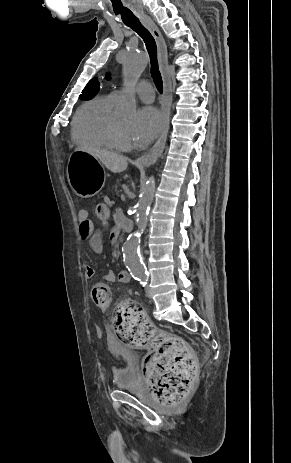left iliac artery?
Instances as JSON below:
<instances>
[{"label":"left iliac artery","instance_id":"44dca946","mask_svg":"<svg viewBox=\"0 0 291 463\" xmlns=\"http://www.w3.org/2000/svg\"><path fill=\"white\" fill-rule=\"evenodd\" d=\"M147 280H148L147 277L138 278V281H140V284H141L142 286H145V285L147 284Z\"/></svg>","mask_w":291,"mask_h":463}]
</instances>
